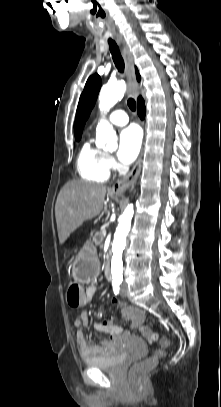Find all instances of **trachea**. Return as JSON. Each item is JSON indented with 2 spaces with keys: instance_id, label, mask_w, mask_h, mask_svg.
Instances as JSON below:
<instances>
[{
  "instance_id": "obj_1",
  "label": "trachea",
  "mask_w": 221,
  "mask_h": 407,
  "mask_svg": "<svg viewBox=\"0 0 221 407\" xmlns=\"http://www.w3.org/2000/svg\"><path fill=\"white\" fill-rule=\"evenodd\" d=\"M108 43H109V49L112 54L114 64H115L116 68L118 69V71L123 73L124 72V60L120 54L119 48H118L116 42L114 40H112L111 38L108 39ZM127 104L132 111L136 110V103H135L134 99L129 98L127 101Z\"/></svg>"
}]
</instances>
